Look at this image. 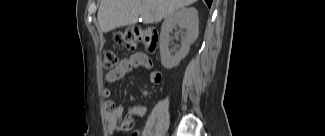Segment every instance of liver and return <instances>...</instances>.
<instances>
[{
    "label": "liver",
    "mask_w": 325,
    "mask_h": 136,
    "mask_svg": "<svg viewBox=\"0 0 325 136\" xmlns=\"http://www.w3.org/2000/svg\"><path fill=\"white\" fill-rule=\"evenodd\" d=\"M196 0H101L97 14L101 32L135 24L138 18L144 24L158 23L179 8Z\"/></svg>",
    "instance_id": "liver-1"
}]
</instances>
